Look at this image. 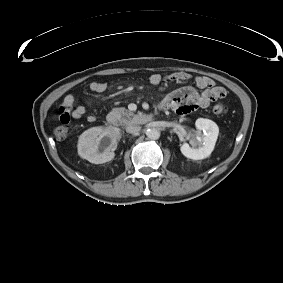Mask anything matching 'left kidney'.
Wrapping results in <instances>:
<instances>
[{"mask_svg": "<svg viewBox=\"0 0 283 283\" xmlns=\"http://www.w3.org/2000/svg\"><path fill=\"white\" fill-rule=\"evenodd\" d=\"M196 129L203 134H198L200 140L197 139L199 144L198 148L190 147L188 143H183L180 147L181 153L190 159L201 160L210 156L214 150L219 128L215 122L205 118H198L195 122Z\"/></svg>", "mask_w": 283, "mask_h": 283, "instance_id": "obj_1", "label": "left kidney"}]
</instances>
